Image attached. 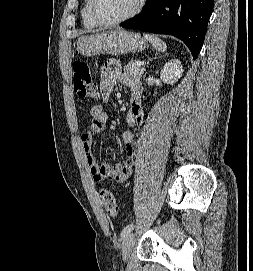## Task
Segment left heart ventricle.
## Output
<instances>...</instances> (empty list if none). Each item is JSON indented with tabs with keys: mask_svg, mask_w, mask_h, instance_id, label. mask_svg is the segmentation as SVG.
Returning a JSON list of instances; mask_svg holds the SVG:
<instances>
[{
	"mask_svg": "<svg viewBox=\"0 0 253 271\" xmlns=\"http://www.w3.org/2000/svg\"><path fill=\"white\" fill-rule=\"evenodd\" d=\"M138 0H97L99 15L107 21L119 19L130 13Z\"/></svg>",
	"mask_w": 253,
	"mask_h": 271,
	"instance_id": "obj_1",
	"label": "left heart ventricle"
}]
</instances>
